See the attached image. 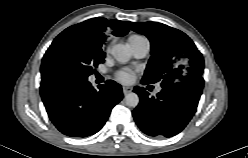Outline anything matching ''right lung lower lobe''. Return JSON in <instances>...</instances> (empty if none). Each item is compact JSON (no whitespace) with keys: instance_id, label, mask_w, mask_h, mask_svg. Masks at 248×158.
<instances>
[{"instance_id":"1","label":"right lung lower lobe","mask_w":248,"mask_h":158,"mask_svg":"<svg viewBox=\"0 0 248 158\" xmlns=\"http://www.w3.org/2000/svg\"><path fill=\"white\" fill-rule=\"evenodd\" d=\"M40 90L50 120L71 137L98 132L123 98L121 86L112 80L99 85L98 90L88 80L49 82Z\"/></svg>"}]
</instances>
